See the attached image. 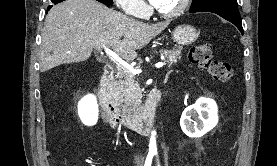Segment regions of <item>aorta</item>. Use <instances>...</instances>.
<instances>
[{
    "label": "aorta",
    "instance_id": "762f6f07",
    "mask_svg": "<svg viewBox=\"0 0 277 166\" xmlns=\"http://www.w3.org/2000/svg\"><path fill=\"white\" fill-rule=\"evenodd\" d=\"M155 134H156L155 131H153V132L151 133L150 145H149V147H150L151 150H155V149H156Z\"/></svg>",
    "mask_w": 277,
    "mask_h": 166
}]
</instances>
